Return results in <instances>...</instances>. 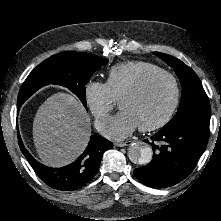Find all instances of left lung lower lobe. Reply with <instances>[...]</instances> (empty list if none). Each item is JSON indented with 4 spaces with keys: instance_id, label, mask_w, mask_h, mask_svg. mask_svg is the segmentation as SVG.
Returning a JSON list of instances; mask_svg holds the SVG:
<instances>
[{
    "instance_id": "0a47b994",
    "label": "left lung lower lobe",
    "mask_w": 221,
    "mask_h": 221,
    "mask_svg": "<svg viewBox=\"0 0 221 221\" xmlns=\"http://www.w3.org/2000/svg\"><path fill=\"white\" fill-rule=\"evenodd\" d=\"M208 138L209 125L198 122H188L169 131L160 130L151 137L152 161L135 169V176L152 188H165L181 182L193 171ZM155 141L163 144L159 147Z\"/></svg>"
}]
</instances>
